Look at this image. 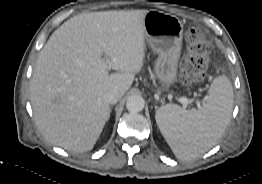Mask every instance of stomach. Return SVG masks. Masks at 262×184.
<instances>
[{
    "label": "stomach",
    "instance_id": "stomach-1",
    "mask_svg": "<svg viewBox=\"0 0 262 184\" xmlns=\"http://www.w3.org/2000/svg\"><path fill=\"white\" fill-rule=\"evenodd\" d=\"M145 40L158 54L155 74L164 89L177 82L183 24L171 14L150 10L144 17Z\"/></svg>",
    "mask_w": 262,
    "mask_h": 184
}]
</instances>
